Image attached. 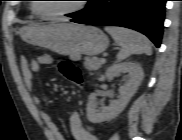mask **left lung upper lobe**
<instances>
[{"mask_svg": "<svg viewBox=\"0 0 182 140\" xmlns=\"http://www.w3.org/2000/svg\"><path fill=\"white\" fill-rule=\"evenodd\" d=\"M98 1H99V0H91V1L89 2V4L87 5V7H86L84 10L77 12V14L79 15V14H81V13H84V12L89 11V9H91L94 5H96ZM69 16H70V15H69ZM71 17H72V16H71Z\"/></svg>", "mask_w": 182, "mask_h": 140, "instance_id": "1", "label": "left lung upper lobe"}]
</instances>
